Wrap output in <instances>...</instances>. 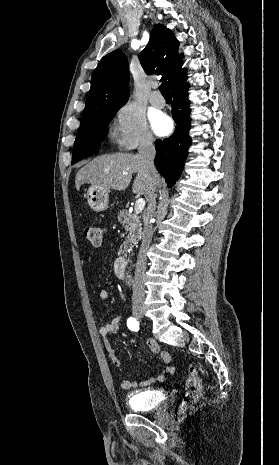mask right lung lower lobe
<instances>
[{"mask_svg": "<svg viewBox=\"0 0 279 465\" xmlns=\"http://www.w3.org/2000/svg\"><path fill=\"white\" fill-rule=\"evenodd\" d=\"M185 80L186 77L171 90L174 98L172 114L177 124L176 130L169 138L155 142V166L159 173L164 176L169 188L179 179L191 144L189 136L190 107L187 98L189 85Z\"/></svg>", "mask_w": 279, "mask_h": 465, "instance_id": "obj_1", "label": "right lung lower lobe"}]
</instances>
